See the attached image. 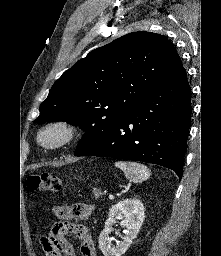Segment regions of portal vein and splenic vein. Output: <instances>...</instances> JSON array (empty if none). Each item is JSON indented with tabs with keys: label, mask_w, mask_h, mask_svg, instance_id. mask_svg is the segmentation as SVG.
I'll list each match as a JSON object with an SVG mask.
<instances>
[{
	"label": "portal vein and splenic vein",
	"mask_w": 221,
	"mask_h": 256,
	"mask_svg": "<svg viewBox=\"0 0 221 256\" xmlns=\"http://www.w3.org/2000/svg\"><path fill=\"white\" fill-rule=\"evenodd\" d=\"M109 199H110V200H114V195H111V194H110V195H109Z\"/></svg>",
	"instance_id": "obj_1"
}]
</instances>
